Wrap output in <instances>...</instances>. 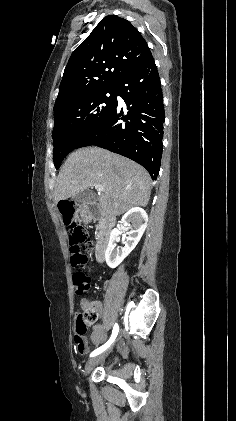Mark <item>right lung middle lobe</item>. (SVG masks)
I'll return each instance as SVG.
<instances>
[{
    "instance_id": "obj_1",
    "label": "right lung middle lobe",
    "mask_w": 236,
    "mask_h": 421,
    "mask_svg": "<svg viewBox=\"0 0 236 421\" xmlns=\"http://www.w3.org/2000/svg\"><path fill=\"white\" fill-rule=\"evenodd\" d=\"M116 104V89L109 88L76 97L54 110L52 138L56 169L67 154L104 122Z\"/></svg>"
}]
</instances>
